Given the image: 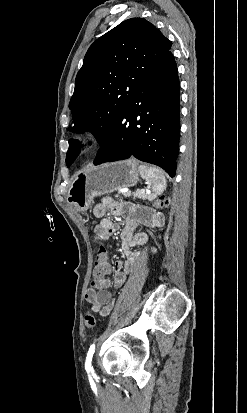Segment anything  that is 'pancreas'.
Returning a JSON list of instances; mask_svg holds the SVG:
<instances>
[{"mask_svg":"<svg viewBox=\"0 0 247 413\" xmlns=\"http://www.w3.org/2000/svg\"><path fill=\"white\" fill-rule=\"evenodd\" d=\"M120 194H123V196H133V198H143V200H153L155 198V194H148V192H141V190H136V192H119V194H115V196H119V200H123L122 196Z\"/></svg>","mask_w":247,"mask_h":413,"instance_id":"cf45deb5","label":"pancreas"}]
</instances>
